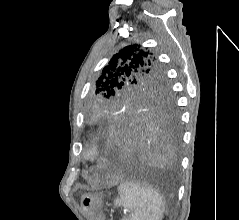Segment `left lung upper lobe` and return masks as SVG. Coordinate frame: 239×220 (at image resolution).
I'll return each mask as SVG.
<instances>
[{"instance_id": "obj_1", "label": "left lung upper lobe", "mask_w": 239, "mask_h": 220, "mask_svg": "<svg viewBox=\"0 0 239 220\" xmlns=\"http://www.w3.org/2000/svg\"><path fill=\"white\" fill-rule=\"evenodd\" d=\"M146 49L136 44L127 46L103 68L86 106L89 122L95 124L102 111L114 107L176 113L164 68Z\"/></svg>"}]
</instances>
